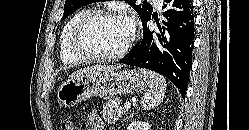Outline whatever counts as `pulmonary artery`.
<instances>
[{
	"instance_id": "pulmonary-artery-1",
	"label": "pulmonary artery",
	"mask_w": 249,
	"mask_h": 130,
	"mask_svg": "<svg viewBox=\"0 0 249 130\" xmlns=\"http://www.w3.org/2000/svg\"><path fill=\"white\" fill-rule=\"evenodd\" d=\"M153 1L158 7H160L163 2V0H153Z\"/></svg>"
}]
</instances>
